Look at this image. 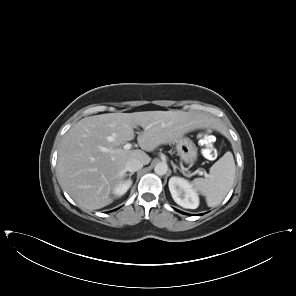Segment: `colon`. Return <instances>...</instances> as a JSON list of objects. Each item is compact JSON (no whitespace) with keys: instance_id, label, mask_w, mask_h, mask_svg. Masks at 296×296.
<instances>
[{"instance_id":"5ec220e1","label":"colon","mask_w":296,"mask_h":296,"mask_svg":"<svg viewBox=\"0 0 296 296\" xmlns=\"http://www.w3.org/2000/svg\"><path fill=\"white\" fill-rule=\"evenodd\" d=\"M201 139L204 144L203 153H204L205 157L208 159L214 158L216 156V149L214 147V144H213L214 141H213L211 135L208 133H203L201 135Z\"/></svg>"}]
</instances>
